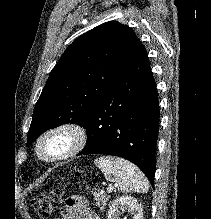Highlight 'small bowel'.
<instances>
[{"label":"small bowel","mask_w":211,"mask_h":219,"mask_svg":"<svg viewBox=\"0 0 211 219\" xmlns=\"http://www.w3.org/2000/svg\"><path fill=\"white\" fill-rule=\"evenodd\" d=\"M55 219H100L96 213L91 210L84 199L77 197L70 199L63 210Z\"/></svg>","instance_id":"obj_1"}]
</instances>
